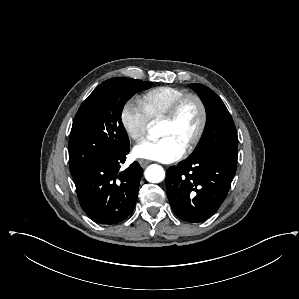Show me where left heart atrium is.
<instances>
[{"instance_id": "left-heart-atrium-1", "label": "left heart atrium", "mask_w": 299, "mask_h": 299, "mask_svg": "<svg viewBox=\"0 0 299 299\" xmlns=\"http://www.w3.org/2000/svg\"><path fill=\"white\" fill-rule=\"evenodd\" d=\"M185 148L179 145L170 137H163L159 140H144L134 146L132 155L135 158L158 160L161 162H174L180 159Z\"/></svg>"}]
</instances>
